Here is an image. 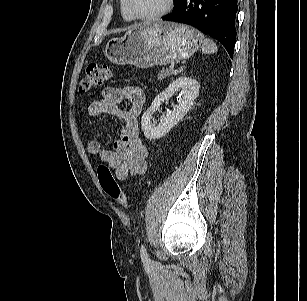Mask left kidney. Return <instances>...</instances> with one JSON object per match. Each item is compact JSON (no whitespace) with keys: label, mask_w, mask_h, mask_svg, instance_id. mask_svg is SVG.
I'll list each match as a JSON object with an SVG mask.
<instances>
[{"label":"left kidney","mask_w":307,"mask_h":301,"mask_svg":"<svg viewBox=\"0 0 307 301\" xmlns=\"http://www.w3.org/2000/svg\"><path fill=\"white\" fill-rule=\"evenodd\" d=\"M200 84L189 77H179L173 81L163 92L155 97L151 106L143 114L141 127L145 137L149 140L159 139L171 130L189 111L199 92ZM180 91L182 97L178 104L172 106V111L160 118V123L155 126L152 123V115L160 105L169 99L175 92Z\"/></svg>","instance_id":"1"}]
</instances>
